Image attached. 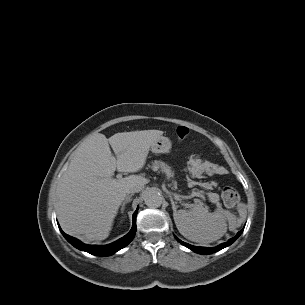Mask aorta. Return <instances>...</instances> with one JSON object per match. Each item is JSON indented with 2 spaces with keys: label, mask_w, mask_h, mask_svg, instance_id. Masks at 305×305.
<instances>
[{
  "label": "aorta",
  "mask_w": 305,
  "mask_h": 305,
  "mask_svg": "<svg viewBox=\"0 0 305 305\" xmlns=\"http://www.w3.org/2000/svg\"><path fill=\"white\" fill-rule=\"evenodd\" d=\"M162 195L155 190H149L146 192L144 196V202L145 204L150 208H157L162 205Z\"/></svg>",
  "instance_id": "aorta-1"
}]
</instances>
